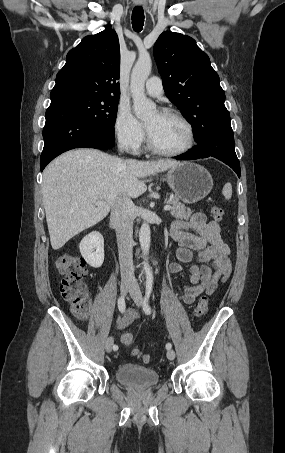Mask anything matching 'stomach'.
<instances>
[{
    "label": "stomach",
    "instance_id": "1",
    "mask_svg": "<svg viewBox=\"0 0 285 453\" xmlns=\"http://www.w3.org/2000/svg\"><path fill=\"white\" fill-rule=\"evenodd\" d=\"M165 177L176 197L187 204L204 199L213 187L209 171L192 162L178 163L169 169Z\"/></svg>",
    "mask_w": 285,
    "mask_h": 453
}]
</instances>
